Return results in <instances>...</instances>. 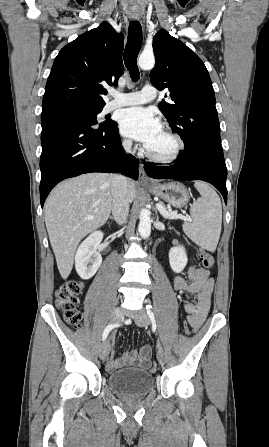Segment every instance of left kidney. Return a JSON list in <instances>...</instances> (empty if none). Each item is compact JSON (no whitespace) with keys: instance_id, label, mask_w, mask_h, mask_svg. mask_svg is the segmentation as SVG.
I'll return each mask as SVG.
<instances>
[{"instance_id":"1","label":"left kidney","mask_w":269,"mask_h":447,"mask_svg":"<svg viewBox=\"0 0 269 447\" xmlns=\"http://www.w3.org/2000/svg\"><path fill=\"white\" fill-rule=\"evenodd\" d=\"M169 261L173 271H176V273L183 271L188 261L185 247H183V245H174V247H170Z\"/></svg>"}]
</instances>
